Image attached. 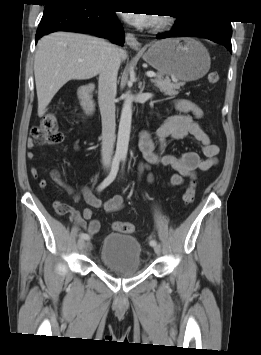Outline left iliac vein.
Instances as JSON below:
<instances>
[{"instance_id":"4c4485c4","label":"left iliac vein","mask_w":261,"mask_h":355,"mask_svg":"<svg viewBox=\"0 0 261 355\" xmlns=\"http://www.w3.org/2000/svg\"><path fill=\"white\" fill-rule=\"evenodd\" d=\"M153 248H154V252H155L157 255H159V254L161 253V247H160V245L156 244V245L153 246Z\"/></svg>"}]
</instances>
